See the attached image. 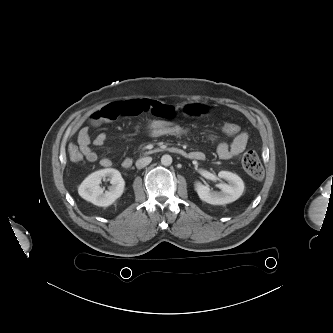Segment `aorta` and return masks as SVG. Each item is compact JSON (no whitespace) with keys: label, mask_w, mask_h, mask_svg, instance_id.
Wrapping results in <instances>:
<instances>
[{"label":"aorta","mask_w":333,"mask_h":333,"mask_svg":"<svg viewBox=\"0 0 333 333\" xmlns=\"http://www.w3.org/2000/svg\"><path fill=\"white\" fill-rule=\"evenodd\" d=\"M161 163H162V165H164V166H169V165H171V163H172V157L170 156V155H163L162 157H161Z\"/></svg>","instance_id":"1"}]
</instances>
